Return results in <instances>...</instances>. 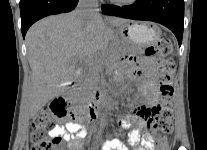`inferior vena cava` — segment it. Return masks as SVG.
<instances>
[{
    "label": "inferior vena cava",
    "mask_w": 207,
    "mask_h": 150,
    "mask_svg": "<svg viewBox=\"0 0 207 150\" xmlns=\"http://www.w3.org/2000/svg\"><path fill=\"white\" fill-rule=\"evenodd\" d=\"M75 12L80 20L87 21L98 14V0H79Z\"/></svg>",
    "instance_id": "inferior-vena-cava-1"
}]
</instances>
